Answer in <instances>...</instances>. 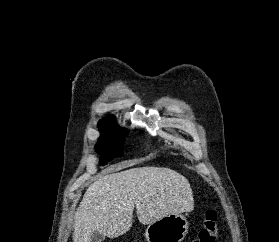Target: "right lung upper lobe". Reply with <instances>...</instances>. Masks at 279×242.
I'll list each match as a JSON object with an SVG mask.
<instances>
[{
  "label": "right lung upper lobe",
  "instance_id": "1",
  "mask_svg": "<svg viewBox=\"0 0 279 242\" xmlns=\"http://www.w3.org/2000/svg\"><path fill=\"white\" fill-rule=\"evenodd\" d=\"M102 124H114V125H116L115 118L113 116H109L107 118H104V119L99 121V125H102Z\"/></svg>",
  "mask_w": 279,
  "mask_h": 242
}]
</instances>
